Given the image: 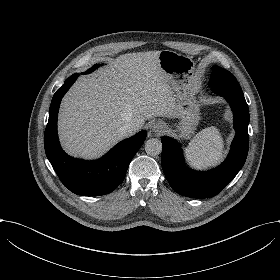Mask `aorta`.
Wrapping results in <instances>:
<instances>
[{"instance_id":"obj_1","label":"aorta","mask_w":280,"mask_h":280,"mask_svg":"<svg viewBox=\"0 0 280 280\" xmlns=\"http://www.w3.org/2000/svg\"><path fill=\"white\" fill-rule=\"evenodd\" d=\"M145 152L148 155L156 156L162 152V143L157 138L148 139L145 142Z\"/></svg>"}]
</instances>
